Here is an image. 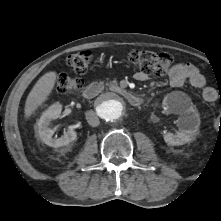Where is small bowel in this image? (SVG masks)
I'll return each instance as SVG.
<instances>
[{
	"mask_svg": "<svg viewBox=\"0 0 221 221\" xmlns=\"http://www.w3.org/2000/svg\"><path fill=\"white\" fill-rule=\"evenodd\" d=\"M135 79L146 81L148 76L145 73L137 72ZM186 81L192 86L202 89V97L208 102H215L219 99L218 92L211 87H205L206 81L199 69L191 63H176L169 70V83L172 87H181Z\"/></svg>",
	"mask_w": 221,
	"mask_h": 221,
	"instance_id": "obj_1",
	"label": "small bowel"
}]
</instances>
